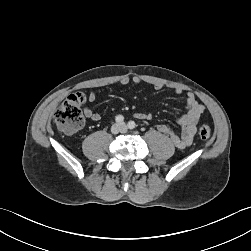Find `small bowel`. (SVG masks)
Wrapping results in <instances>:
<instances>
[{"mask_svg": "<svg viewBox=\"0 0 251 251\" xmlns=\"http://www.w3.org/2000/svg\"><path fill=\"white\" fill-rule=\"evenodd\" d=\"M119 82L122 85H128L131 83L139 84L141 80L137 76L134 77L123 76ZM154 88L156 90H160L162 89V85L155 84ZM174 92L179 94L182 92V89L175 88ZM95 100H96V93L94 91H91L88 94V101L94 102ZM203 111H204L203 104L200 103L192 93H188L186 102V112L180 117H178L176 120L177 124L180 125L182 129L181 134L176 133L170 127L164 124L158 125L157 128L160 132L168 134L170 140L177 148L184 149L193 143V140L197 132V124ZM83 113L85 117L89 118L92 121H99L101 119L100 114L95 112L89 106L84 107ZM134 117L139 120H150L152 118V114L149 112H137L134 114Z\"/></svg>", "mask_w": 251, "mask_h": 251, "instance_id": "c3829d8e", "label": "small bowel"}]
</instances>
